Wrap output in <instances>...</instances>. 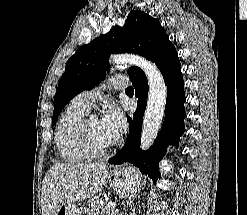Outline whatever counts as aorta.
Masks as SVG:
<instances>
[{
    "label": "aorta",
    "instance_id": "1",
    "mask_svg": "<svg viewBox=\"0 0 247 215\" xmlns=\"http://www.w3.org/2000/svg\"><path fill=\"white\" fill-rule=\"evenodd\" d=\"M111 62L118 66L140 67L148 79V100L140 140L141 148L146 150L153 144L162 124L167 99V86L157 66L143 57L119 54L111 56Z\"/></svg>",
    "mask_w": 247,
    "mask_h": 215
}]
</instances>
